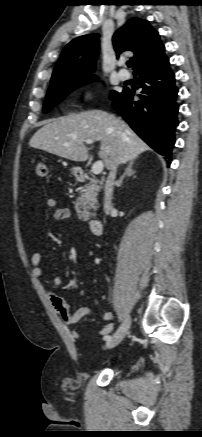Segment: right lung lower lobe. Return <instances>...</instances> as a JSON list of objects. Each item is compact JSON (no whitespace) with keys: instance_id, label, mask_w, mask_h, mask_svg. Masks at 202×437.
<instances>
[{"instance_id":"obj_1","label":"right lung lower lobe","mask_w":202,"mask_h":437,"mask_svg":"<svg viewBox=\"0 0 202 437\" xmlns=\"http://www.w3.org/2000/svg\"><path fill=\"white\" fill-rule=\"evenodd\" d=\"M139 76L141 94L133 99L134 91L125 88L111 97L113 108L151 148L164 156L170 164L179 124L177 104L178 88L169 59L163 55L158 60L134 71Z\"/></svg>"}]
</instances>
